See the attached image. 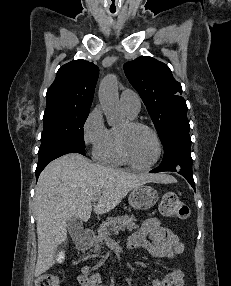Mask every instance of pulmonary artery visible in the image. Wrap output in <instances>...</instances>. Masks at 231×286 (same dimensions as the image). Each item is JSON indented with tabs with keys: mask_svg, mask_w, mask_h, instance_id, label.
I'll list each match as a JSON object with an SVG mask.
<instances>
[{
	"mask_svg": "<svg viewBox=\"0 0 231 286\" xmlns=\"http://www.w3.org/2000/svg\"><path fill=\"white\" fill-rule=\"evenodd\" d=\"M122 108L132 115H137L141 108L139 95L132 90H124L120 95Z\"/></svg>",
	"mask_w": 231,
	"mask_h": 286,
	"instance_id": "1",
	"label": "pulmonary artery"
}]
</instances>
